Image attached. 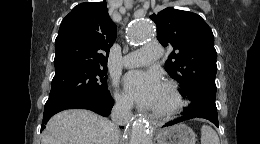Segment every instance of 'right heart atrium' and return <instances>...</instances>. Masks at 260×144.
Instances as JSON below:
<instances>
[{"mask_svg": "<svg viewBox=\"0 0 260 144\" xmlns=\"http://www.w3.org/2000/svg\"><path fill=\"white\" fill-rule=\"evenodd\" d=\"M115 101L122 108H129L131 106L130 99L123 93L119 91L115 92Z\"/></svg>", "mask_w": 260, "mask_h": 144, "instance_id": "right-heart-atrium-1", "label": "right heart atrium"}]
</instances>
